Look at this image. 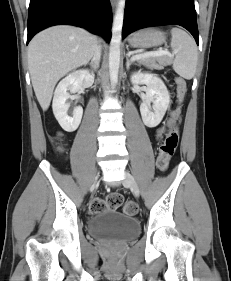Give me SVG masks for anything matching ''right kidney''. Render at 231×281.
<instances>
[{
    "instance_id": "1",
    "label": "right kidney",
    "mask_w": 231,
    "mask_h": 281,
    "mask_svg": "<svg viewBox=\"0 0 231 281\" xmlns=\"http://www.w3.org/2000/svg\"><path fill=\"white\" fill-rule=\"evenodd\" d=\"M94 83V74L88 70L80 69L74 71L62 79L57 85L52 103L53 113L60 126L67 132L75 131L82 119L83 109L77 106L72 116L68 115L70 104L67 100L71 93H76L82 87H90Z\"/></svg>"
}]
</instances>
